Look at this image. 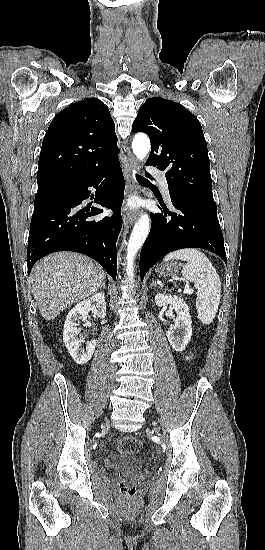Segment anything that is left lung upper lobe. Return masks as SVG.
Segmentation results:
<instances>
[{"instance_id": "obj_1", "label": "left lung upper lobe", "mask_w": 265, "mask_h": 550, "mask_svg": "<svg viewBox=\"0 0 265 550\" xmlns=\"http://www.w3.org/2000/svg\"><path fill=\"white\" fill-rule=\"evenodd\" d=\"M132 130L150 137L151 153L146 164L165 171L171 197H190L217 208L207 144L194 114L171 100L148 98Z\"/></svg>"}]
</instances>
